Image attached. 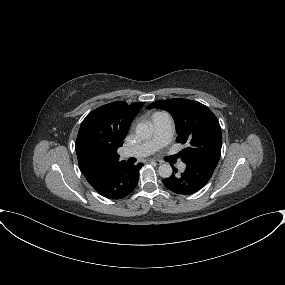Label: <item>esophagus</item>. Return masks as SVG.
<instances>
[{
  "label": "esophagus",
  "instance_id": "esophagus-1",
  "mask_svg": "<svg viewBox=\"0 0 285 285\" xmlns=\"http://www.w3.org/2000/svg\"><path fill=\"white\" fill-rule=\"evenodd\" d=\"M150 162L155 163L156 165L162 164L160 160H150Z\"/></svg>",
  "mask_w": 285,
  "mask_h": 285
}]
</instances>
